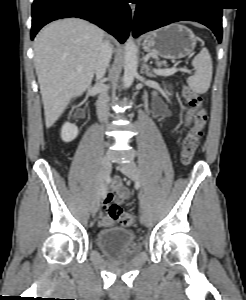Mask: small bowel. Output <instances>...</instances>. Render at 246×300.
I'll return each mask as SVG.
<instances>
[{
  "label": "small bowel",
  "mask_w": 246,
  "mask_h": 300,
  "mask_svg": "<svg viewBox=\"0 0 246 300\" xmlns=\"http://www.w3.org/2000/svg\"><path fill=\"white\" fill-rule=\"evenodd\" d=\"M192 112L190 111L187 117V120H190ZM103 202L108 199L110 202L115 201L117 203H122L128 198L127 190L121 185V183L116 180L112 185V191L108 194H105L103 197ZM97 222L101 226H109L113 224V220L110 219L106 214L100 213L97 216Z\"/></svg>",
  "instance_id": "small-bowel-1"
}]
</instances>
